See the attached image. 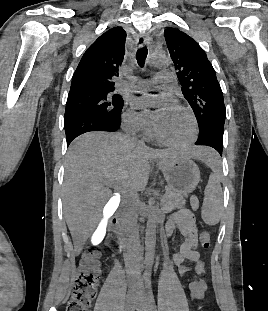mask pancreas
Returning <instances> with one entry per match:
<instances>
[{"instance_id": "pancreas-1", "label": "pancreas", "mask_w": 268, "mask_h": 311, "mask_svg": "<svg viewBox=\"0 0 268 311\" xmlns=\"http://www.w3.org/2000/svg\"><path fill=\"white\" fill-rule=\"evenodd\" d=\"M186 200L184 197L170 189H166L161 201V207L164 213L172 212L173 210L184 207Z\"/></svg>"}]
</instances>
